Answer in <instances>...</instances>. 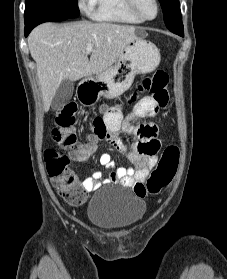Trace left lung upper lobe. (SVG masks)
I'll return each instance as SVG.
<instances>
[{
	"mask_svg": "<svg viewBox=\"0 0 227 279\" xmlns=\"http://www.w3.org/2000/svg\"><path fill=\"white\" fill-rule=\"evenodd\" d=\"M166 27L172 32H183L179 0H159Z\"/></svg>",
	"mask_w": 227,
	"mask_h": 279,
	"instance_id": "5c2ea615",
	"label": "left lung upper lobe"
}]
</instances>
